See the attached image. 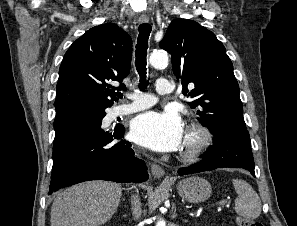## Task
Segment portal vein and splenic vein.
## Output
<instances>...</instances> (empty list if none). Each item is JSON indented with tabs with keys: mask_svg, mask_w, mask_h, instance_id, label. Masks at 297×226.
<instances>
[{
	"mask_svg": "<svg viewBox=\"0 0 297 226\" xmlns=\"http://www.w3.org/2000/svg\"><path fill=\"white\" fill-rule=\"evenodd\" d=\"M225 203H227L226 200H224V201H219V202H216V203L208 204L207 207H215V206H218V205H221V204H225Z\"/></svg>",
	"mask_w": 297,
	"mask_h": 226,
	"instance_id": "1",
	"label": "portal vein and splenic vein"
}]
</instances>
